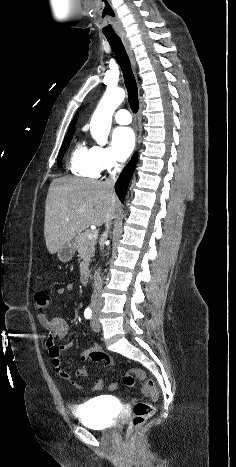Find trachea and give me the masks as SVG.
Returning a JSON list of instances; mask_svg holds the SVG:
<instances>
[{
  "instance_id": "3493384b",
  "label": "trachea",
  "mask_w": 236,
  "mask_h": 467,
  "mask_svg": "<svg viewBox=\"0 0 236 467\" xmlns=\"http://www.w3.org/2000/svg\"><path fill=\"white\" fill-rule=\"evenodd\" d=\"M113 52L115 53L119 65L121 67L125 86L128 92V102L131 110L134 113H137L139 108L138 103V88L136 84L135 77L133 75L129 58L125 51L124 45L119 37L107 38Z\"/></svg>"
}]
</instances>
